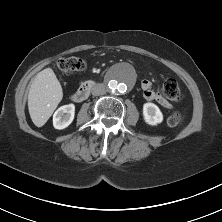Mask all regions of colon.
<instances>
[{"mask_svg":"<svg viewBox=\"0 0 222 222\" xmlns=\"http://www.w3.org/2000/svg\"><path fill=\"white\" fill-rule=\"evenodd\" d=\"M56 68L66 74L82 72L86 67V62L78 57L61 58L55 63ZM163 96L173 102L181 99V90L178 83L174 79H166L162 87ZM182 116L179 112L172 113L167 118V125L175 127L181 122Z\"/></svg>","mask_w":222,"mask_h":222,"instance_id":"obj_1","label":"colon"}]
</instances>
